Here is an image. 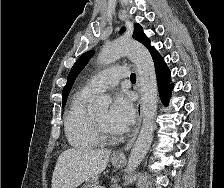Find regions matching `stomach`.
Here are the masks:
<instances>
[{"label": "stomach", "instance_id": "1", "mask_svg": "<svg viewBox=\"0 0 224 188\" xmlns=\"http://www.w3.org/2000/svg\"><path fill=\"white\" fill-rule=\"evenodd\" d=\"M111 162L114 166L118 167L122 164L123 160L122 159H115V158H112L111 159Z\"/></svg>", "mask_w": 224, "mask_h": 188}]
</instances>
